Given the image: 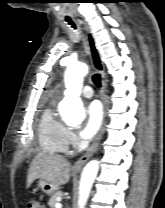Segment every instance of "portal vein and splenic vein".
I'll return each instance as SVG.
<instances>
[{"instance_id":"18ae733b","label":"portal vein and splenic vein","mask_w":165,"mask_h":208,"mask_svg":"<svg viewBox=\"0 0 165 208\" xmlns=\"http://www.w3.org/2000/svg\"><path fill=\"white\" fill-rule=\"evenodd\" d=\"M55 208H62V205L60 203H56Z\"/></svg>"}]
</instances>
